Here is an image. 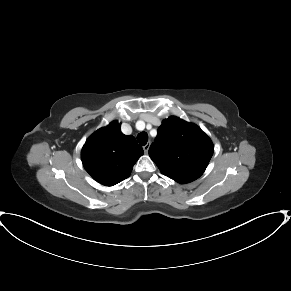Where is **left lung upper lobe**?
I'll return each mask as SVG.
<instances>
[{"label": "left lung upper lobe", "mask_w": 291, "mask_h": 291, "mask_svg": "<svg viewBox=\"0 0 291 291\" xmlns=\"http://www.w3.org/2000/svg\"><path fill=\"white\" fill-rule=\"evenodd\" d=\"M213 151L212 141L197 125L172 116L158 128L149 156L162 174L184 184L203 174Z\"/></svg>", "instance_id": "obj_1"}]
</instances>
